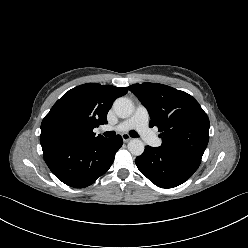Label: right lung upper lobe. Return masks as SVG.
Wrapping results in <instances>:
<instances>
[{
  "label": "right lung upper lobe",
  "instance_id": "right-lung-upper-lobe-1",
  "mask_svg": "<svg viewBox=\"0 0 248 248\" xmlns=\"http://www.w3.org/2000/svg\"><path fill=\"white\" fill-rule=\"evenodd\" d=\"M127 87L87 83L65 93L41 123L42 146L55 143H81L99 139L93 129L107 123L114 100L127 93Z\"/></svg>",
  "mask_w": 248,
  "mask_h": 248
}]
</instances>
